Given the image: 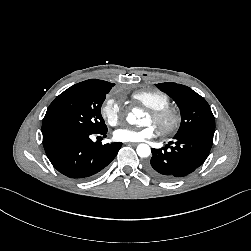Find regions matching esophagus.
<instances>
[{
  "label": "esophagus",
  "mask_w": 251,
  "mask_h": 251,
  "mask_svg": "<svg viewBox=\"0 0 251 251\" xmlns=\"http://www.w3.org/2000/svg\"><path fill=\"white\" fill-rule=\"evenodd\" d=\"M126 144L129 146H136L137 145V143H133V142H127Z\"/></svg>",
  "instance_id": "obj_1"
}]
</instances>
